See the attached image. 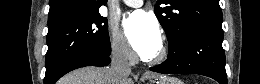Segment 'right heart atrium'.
Masks as SVG:
<instances>
[{"mask_svg":"<svg viewBox=\"0 0 260 84\" xmlns=\"http://www.w3.org/2000/svg\"><path fill=\"white\" fill-rule=\"evenodd\" d=\"M109 48L116 60L125 63L132 62L134 58L133 53L121 33L114 26L109 30Z\"/></svg>","mask_w":260,"mask_h":84,"instance_id":"d8ad5b80","label":"right heart atrium"}]
</instances>
